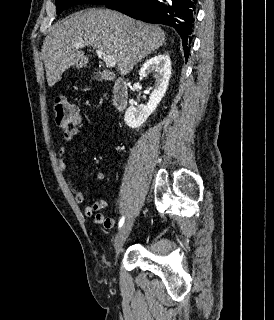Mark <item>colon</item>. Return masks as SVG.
Instances as JSON below:
<instances>
[{
	"label": "colon",
	"mask_w": 274,
	"mask_h": 320,
	"mask_svg": "<svg viewBox=\"0 0 274 320\" xmlns=\"http://www.w3.org/2000/svg\"><path fill=\"white\" fill-rule=\"evenodd\" d=\"M53 108L55 111V123L59 129L66 132L67 127H73V120H81L79 110L63 95L57 96L53 100Z\"/></svg>",
	"instance_id": "colon-1"
}]
</instances>
